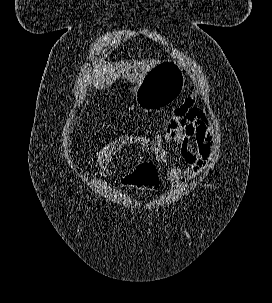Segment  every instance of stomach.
I'll return each instance as SVG.
<instances>
[{"label":"stomach","instance_id":"stomach-1","mask_svg":"<svg viewBox=\"0 0 272 303\" xmlns=\"http://www.w3.org/2000/svg\"><path fill=\"white\" fill-rule=\"evenodd\" d=\"M185 78L175 61L164 60L135 87L129 88L139 107L158 110L173 102L184 89Z\"/></svg>","mask_w":272,"mask_h":303}]
</instances>
